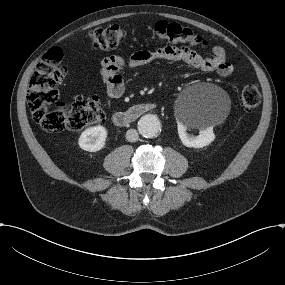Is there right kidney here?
Returning <instances> with one entry per match:
<instances>
[{
  "mask_svg": "<svg viewBox=\"0 0 285 285\" xmlns=\"http://www.w3.org/2000/svg\"><path fill=\"white\" fill-rule=\"evenodd\" d=\"M108 130L106 127L96 125L86 128L77 140L78 146L87 152H98L105 147Z\"/></svg>",
  "mask_w": 285,
  "mask_h": 285,
  "instance_id": "right-kidney-1",
  "label": "right kidney"
}]
</instances>
